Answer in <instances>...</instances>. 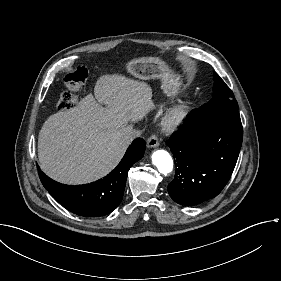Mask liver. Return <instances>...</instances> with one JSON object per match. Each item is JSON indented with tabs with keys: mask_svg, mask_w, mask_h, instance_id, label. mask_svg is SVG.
Here are the masks:
<instances>
[{
	"mask_svg": "<svg viewBox=\"0 0 281 281\" xmlns=\"http://www.w3.org/2000/svg\"><path fill=\"white\" fill-rule=\"evenodd\" d=\"M94 93L108 106L88 94L72 109L50 115L39 131L40 168L57 182L79 185L104 177L124 157L133 122L156 108L148 86L124 77H100Z\"/></svg>",
	"mask_w": 281,
	"mask_h": 281,
	"instance_id": "obj_1",
	"label": "liver"
}]
</instances>
